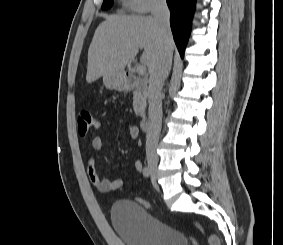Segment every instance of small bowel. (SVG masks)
I'll return each instance as SVG.
<instances>
[{
    "label": "small bowel",
    "mask_w": 283,
    "mask_h": 245,
    "mask_svg": "<svg viewBox=\"0 0 283 245\" xmlns=\"http://www.w3.org/2000/svg\"><path fill=\"white\" fill-rule=\"evenodd\" d=\"M120 123L125 127V129L128 131L130 137L132 139H135L139 135V129L136 125L131 123L130 121L126 119H120ZM105 132H102L100 134H97L93 137L91 141V153L89 154L88 160H87V174L89 177V180L91 184L100 192H109L111 191V179L108 178H101L95 167V157L94 152L98 151L103 148L104 145V137ZM134 170L137 172L142 171V163L140 161L134 162Z\"/></svg>",
    "instance_id": "obj_1"
}]
</instances>
